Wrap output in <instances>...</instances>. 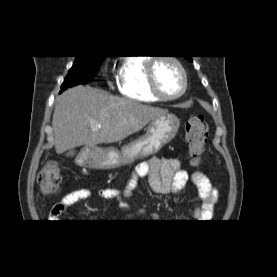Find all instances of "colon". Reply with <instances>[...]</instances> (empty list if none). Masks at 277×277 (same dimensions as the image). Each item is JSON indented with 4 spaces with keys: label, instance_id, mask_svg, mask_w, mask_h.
<instances>
[{
    "label": "colon",
    "instance_id": "obj_1",
    "mask_svg": "<svg viewBox=\"0 0 277 277\" xmlns=\"http://www.w3.org/2000/svg\"><path fill=\"white\" fill-rule=\"evenodd\" d=\"M208 137V124L202 115L188 119L185 140L192 161L198 163ZM62 182V170L56 162H48L38 176V183L44 193H50Z\"/></svg>",
    "mask_w": 277,
    "mask_h": 277
}]
</instances>
